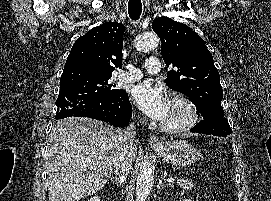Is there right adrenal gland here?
<instances>
[{"instance_id": "1", "label": "right adrenal gland", "mask_w": 271, "mask_h": 201, "mask_svg": "<svg viewBox=\"0 0 271 201\" xmlns=\"http://www.w3.org/2000/svg\"><path fill=\"white\" fill-rule=\"evenodd\" d=\"M111 181H112L113 184H116V183H117V182H116V179H114L113 177L111 178Z\"/></svg>"}]
</instances>
